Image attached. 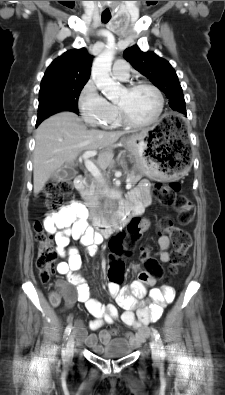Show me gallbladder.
Wrapping results in <instances>:
<instances>
[{"mask_svg": "<svg viewBox=\"0 0 225 395\" xmlns=\"http://www.w3.org/2000/svg\"><path fill=\"white\" fill-rule=\"evenodd\" d=\"M77 174V171L70 166H62L52 176L51 180L54 182L66 181L73 179Z\"/></svg>", "mask_w": 225, "mask_h": 395, "instance_id": "1", "label": "gallbladder"}]
</instances>
